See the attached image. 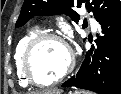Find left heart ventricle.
I'll list each match as a JSON object with an SVG mask.
<instances>
[{"label":"left heart ventricle","instance_id":"b2bd125f","mask_svg":"<svg viewBox=\"0 0 121 94\" xmlns=\"http://www.w3.org/2000/svg\"><path fill=\"white\" fill-rule=\"evenodd\" d=\"M68 63L66 49L57 41L47 40L34 50L30 69L39 82H49L59 76Z\"/></svg>","mask_w":121,"mask_h":94}]
</instances>
